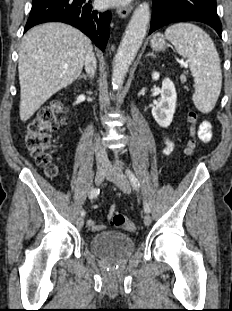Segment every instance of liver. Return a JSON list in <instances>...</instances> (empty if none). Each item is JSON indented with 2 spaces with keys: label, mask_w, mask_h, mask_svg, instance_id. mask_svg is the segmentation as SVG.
Segmentation results:
<instances>
[{
  "label": "liver",
  "mask_w": 232,
  "mask_h": 311,
  "mask_svg": "<svg viewBox=\"0 0 232 311\" xmlns=\"http://www.w3.org/2000/svg\"><path fill=\"white\" fill-rule=\"evenodd\" d=\"M90 47L86 35L64 23L39 25L24 35L18 60L22 121L79 77Z\"/></svg>",
  "instance_id": "liver-1"
}]
</instances>
